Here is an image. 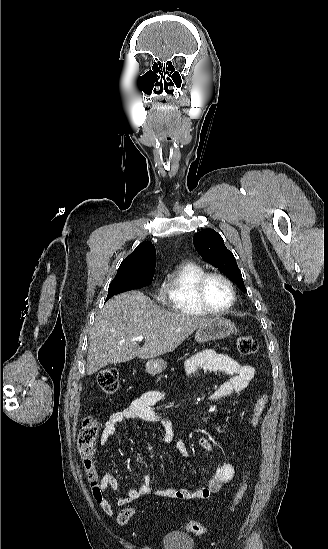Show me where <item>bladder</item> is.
Wrapping results in <instances>:
<instances>
[{
    "mask_svg": "<svg viewBox=\"0 0 328 549\" xmlns=\"http://www.w3.org/2000/svg\"><path fill=\"white\" fill-rule=\"evenodd\" d=\"M165 549H193L194 539L188 535L167 533L164 534Z\"/></svg>",
    "mask_w": 328,
    "mask_h": 549,
    "instance_id": "obj_1",
    "label": "bladder"
}]
</instances>
